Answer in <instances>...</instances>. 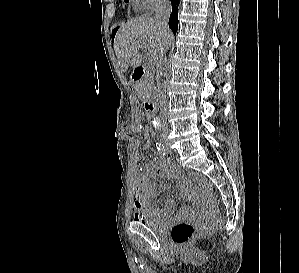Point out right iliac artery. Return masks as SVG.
Masks as SVG:
<instances>
[{"label": "right iliac artery", "instance_id": "82829eb1", "mask_svg": "<svg viewBox=\"0 0 299 273\" xmlns=\"http://www.w3.org/2000/svg\"><path fill=\"white\" fill-rule=\"evenodd\" d=\"M157 149L161 155H163V156L166 155V149L162 143H159L157 145Z\"/></svg>", "mask_w": 299, "mask_h": 273}]
</instances>
